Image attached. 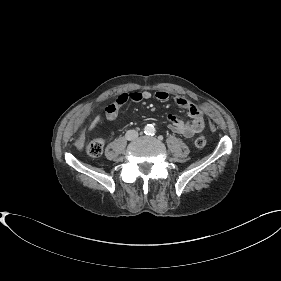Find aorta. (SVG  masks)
<instances>
[{
	"mask_svg": "<svg viewBox=\"0 0 281 281\" xmlns=\"http://www.w3.org/2000/svg\"><path fill=\"white\" fill-rule=\"evenodd\" d=\"M155 132V128L152 124H148L144 128V133L147 135H152Z\"/></svg>",
	"mask_w": 281,
	"mask_h": 281,
	"instance_id": "aorta-1",
	"label": "aorta"
}]
</instances>
